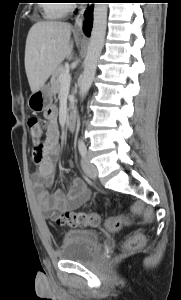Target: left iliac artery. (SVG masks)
<instances>
[{"mask_svg":"<svg viewBox=\"0 0 181 300\" xmlns=\"http://www.w3.org/2000/svg\"><path fill=\"white\" fill-rule=\"evenodd\" d=\"M78 149H79V152H80L81 156L85 157L86 153H87V148H86V145H85L83 140H79Z\"/></svg>","mask_w":181,"mask_h":300,"instance_id":"44dca946","label":"left iliac artery"}]
</instances>
